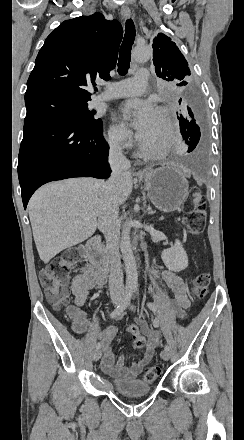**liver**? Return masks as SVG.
<instances>
[{"label": "liver", "mask_w": 244, "mask_h": 440, "mask_svg": "<svg viewBox=\"0 0 244 440\" xmlns=\"http://www.w3.org/2000/svg\"><path fill=\"white\" fill-rule=\"evenodd\" d=\"M104 184L103 180L94 178H70L45 184L33 194L28 204L29 218L37 252L44 264L62 250L93 236L105 194ZM132 188L129 174L121 180L116 192L120 206L129 198Z\"/></svg>", "instance_id": "liver-1"}]
</instances>
